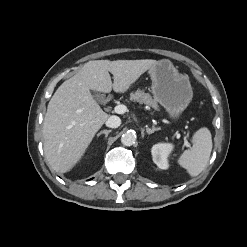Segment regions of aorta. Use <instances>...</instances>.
I'll list each match as a JSON object with an SVG mask.
<instances>
[{
	"label": "aorta",
	"mask_w": 247,
	"mask_h": 247,
	"mask_svg": "<svg viewBox=\"0 0 247 247\" xmlns=\"http://www.w3.org/2000/svg\"><path fill=\"white\" fill-rule=\"evenodd\" d=\"M136 142V134L133 131H127L121 137V143L125 146H132Z\"/></svg>",
	"instance_id": "aorta-1"
}]
</instances>
